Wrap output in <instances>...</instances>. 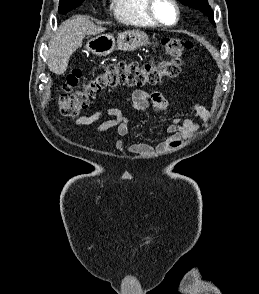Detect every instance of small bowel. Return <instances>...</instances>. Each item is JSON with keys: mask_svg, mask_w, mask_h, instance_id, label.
I'll return each instance as SVG.
<instances>
[{"mask_svg": "<svg viewBox=\"0 0 259 294\" xmlns=\"http://www.w3.org/2000/svg\"><path fill=\"white\" fill-rule=\"evenodd\" d=\"M168 107V101L158 90L146 91L135 90L132 94V102L130 109L132 112H142L148 108L154 111H165ZM191 113L196 115L200 121L197 122L192 119L174 118L166 128V133L169 135L168 139L164 142L151 146L145 143H136L124 146L120 137L126 136L131 131V121L129 115L119 108H107L97 110L92 114L81 116L75 120L76 126L91 125L97 122L104 115L110 119L104 121L98 128L97 132L101 133L108 129L114 128L116 130L117 139L115 142L116 148L120 152H128L130 154H150L155 151L170 149L180 144L182 139L192 137L202 127L207 126L210 112L202 104H193L189 107Z\"/></svg>", "mask_w": 259, "mask_h": 294, "instance_id": "1", "label": "small bowel"}]
</instances>
